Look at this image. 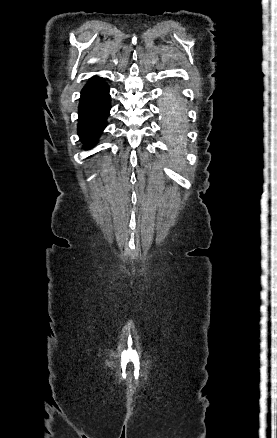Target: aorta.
<instances>
[{
  "label": "aorta",
  "instance_id": "762f6f07",
  "mask_svg": "<svg viewBox=\"0 0 277 438\" xmlns=\"http://www.w3.org/2000/svg\"><path fill=\"white\" fill-rule=\"evenodd\" d=\"M171 115L169 117L165 116V119L163 121V125L165 127V131L167 136L171 138L172 141H175L174 134L177 132H182L184 130V125L186 122V118L184 117V109L176 106H172L171 109ZM174 163L178 165L182 163L178 159H174Z\"/></svg>",
  "mask_w": 277,
  "mask_h": 438
}]
</instances>
